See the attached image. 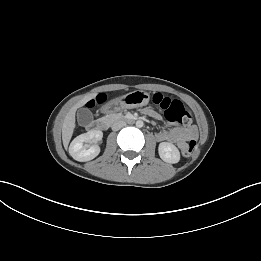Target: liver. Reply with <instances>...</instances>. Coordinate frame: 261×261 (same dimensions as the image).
I'll return each mask as SVG.
<instances>
[{
    "label": "liver",
    "instance_id": "liver-1",
    "mask_svg": "<svg viewBox=\"0 0 261 261\" xmlns=\"http://www.w3.org/2000/svg\"><path fill=\"white\" fill-rule=\"evenodd\" d=\"M95 94H88L79 102H77L66 114L63 124H62V141L65 148L68 147V144L73 135L75 128V114L78 108L84 106L90 99L94 98Z\"/></svg>",
    "mask_w": 261,
    "mask_h": 261
}]
</instances>
